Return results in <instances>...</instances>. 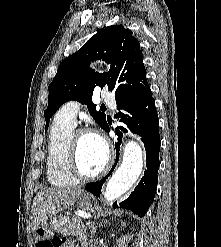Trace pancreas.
<instances>
[{
    "label": "pancreas",
    "instance_id": "obj_1",
    "mask_svg": "<svg viewBox=\"0 0 221 247\" xmlns=\"http://www.w3.org/2000/svg\"><path fill=\"white\" fill-rule=\"evenodd\" d=\"M55 226V230L64 236H76L82 246L88 245L86 229L80 217L61 218Z\"/></svg>",
    "mask_w": 221,
    "mask_h": 247
}]
</instances>
